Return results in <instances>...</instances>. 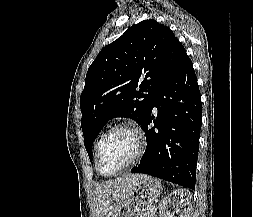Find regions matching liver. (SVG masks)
<instances>
[{
  "label": "liver",
  "instance_id": "obj_1",
  "mask_svg": "<svg viewBox=\"0 0 253 217\" xmlns=\"http://www.w3.org/2000/svg\"><path fill=\"white\" fill-rule=\"evenodd\" d=\"M140 174L121 177L97 184L93 190L94 217H118L120 209L131 195Z\"/></svg>",
  "mask_w": 253,
  "mask_h": 217
}]
</instances>
